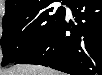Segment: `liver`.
<instances>
[{
	"mask_svg": "<svg viewBox=\"0 0 102 75\" xmlns=\"http://www.w3.org/2000/svg\"><path fill=\"white\" fill-rule=\"evenodd\" d=\"M2 75H60L59 72L40 65L20 64L1 72Z\"/></svg>",
	"mask_w": 102,
	"mask_h": 75,
	"instance_id": "liver-1",
	"label": "liver"
}]
</instances>
